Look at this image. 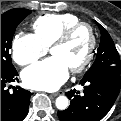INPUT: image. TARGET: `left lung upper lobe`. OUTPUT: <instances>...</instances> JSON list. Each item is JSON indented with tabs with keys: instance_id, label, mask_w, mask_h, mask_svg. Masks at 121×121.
Listing matches in <instances>:
<instances>
[{
	"instance_id": "left-lung-upper-lobe-1",
	"label": "left lung upper lobe",
	"mask_w": 121,
	"mask_h": 121,
	"mask_svg": "<svg viewBox=\"0 0 121 121\" xmlns=\"http://www.w3.org/2000/svg\"><path fill=\"white\" fill-rule=\"evenodd\" d=\"M97 25L101 31L100 47L95 62L84 77L92 74L120 75L121 61L114 42L108 32L99 23Z\"/></svg>"
}]
</instances>
